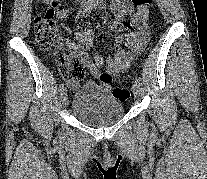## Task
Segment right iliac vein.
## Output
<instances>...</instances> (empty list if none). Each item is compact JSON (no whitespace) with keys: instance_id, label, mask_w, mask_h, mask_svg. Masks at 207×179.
I'll use <instances>...</instances> for the list:
<instances>
[{"instance_id":"obj_1","label":"right iliac vein","mask_w":207,"mask_h":179,"mask_svg":"<svg viewBox=\"0 0 207 179\" xmlns=\"http://www.w3.org/2000/svg\"><path fill=\"white\" fill-rule=\"evenodd\" d=\"M61 101L64 107H66L68 105V97H67V93L65 91L62 92L61 94Z\"/></svg>"}]
</instances>
